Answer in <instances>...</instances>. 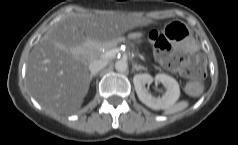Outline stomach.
Returning <instances> with one entry per match:
<instances>
[{
	"instance_id": "obj_1",
	"label": "stomach",
	"mask_w": 238,
	"mask_h": 145,
	"mask_svg": "<svg viewBox=\"0 0 238 145\" xmlns=\"http://www.w3.org/2000/svg\"><path fill=\"white\" fill-rule=\"evenodd\" d=\"M164 35L175 46L182 47L187 45L190 52H196L199 49L198 44L192 37L191 30L181 21H169L163 29Z\"/></svg>"
}]
</instances>
